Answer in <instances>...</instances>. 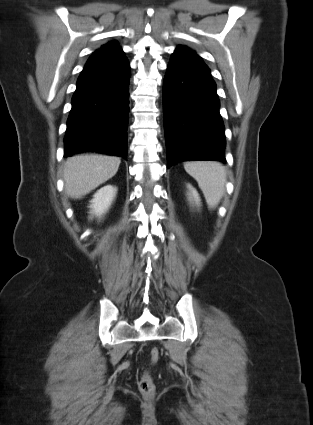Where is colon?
Wrapping results in <instances>:
<instances>
[{
	"label": "colon",
	"mask_w": 313,
	"mask_h": 425,
	"mask_svg": "<svg viewBox=\"0 0 313 425\" xmlns=\"http://www.w3.org/2000/svg\"><path fill=\"white\" fill-rule=\"evenodd\" d=\"M150 363L155 364L160 359V350L158 348H153L150 351ZM139 389L141 394L145 398H152L155 395L156 386L154 380L148 371H145L139 382Z\"/></svg>",
	"instance_id": "colon-1"
}]
</instances>
